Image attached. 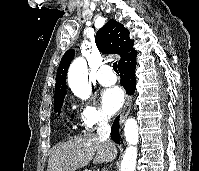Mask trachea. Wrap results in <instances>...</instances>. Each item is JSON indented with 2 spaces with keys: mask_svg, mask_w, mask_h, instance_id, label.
Instances as JSON below:
<instances>
[{
  "mask_svg": "<svg viewBox=\"0 0 199 171\" xmlns=\"http://www.w3.org/2000/svg\"><path fill=\"white\" fill-rule=\"evenodd\" d=\"M113 69L116 73H118V66H117V62L113 63Z\"/></svg>",
  "mask_w": 199,
  "mask_h": 171,
  "instance_id": "1",
  "label": "trachea"
}]
</instances>
